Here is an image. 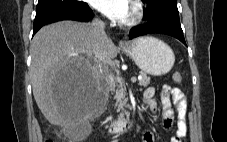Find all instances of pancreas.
I'll list each match as a JSON object with an SVG mask.
<instances>
[{
    "label": "pancreas",
    "instance_id": "cf45deb5",
    "mask_svg": "<svg viewBox=\"0 0 227 142\" xmlns=\"http://www.w3.org/2000/svg\"><path fill=\"white\" fill-rule=\"evenodd\" d=\"M141 79L139 80L138 84L140 86H148L150 83V77L147 76L146 73H140ZM116 87L114 99L116 100L115 106L117 107V111H121L122 114H126L125 108L128 107L127 98H126V88L123 84L121 78L116 77L114 80L113 88Z\"/></svg>",
    "mask_w": 227,
    "mask_h": 142
}]
</instances>
